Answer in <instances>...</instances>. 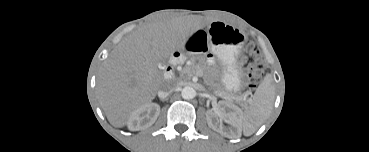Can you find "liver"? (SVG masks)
I'll return each instance as SVG.
<instances>
[{"mask_svg":"<svg viewBox=\"0 0 369 152\" xmlns=\"http://www.w3.org/2000/svg\"><path fill=\"white\" fill-rule=\"evenodd\" d=\"M199 29L182 18L145 25L126 36L104 61L97 97L111 125L124 127L133 111L150 103L163 84L159 63L184 50Z\"/></svg>","mask_w":369,"mask_h":152,"instance_id":"1","label":"liver"}]
</instances>
